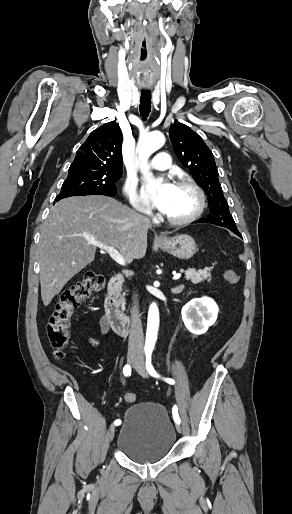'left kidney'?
I'll return each mask as SVG.
<instances>
[{"label":"left kidney","mask_w":292,"mask_h":514,"mask_svg":"<svg viewBox=\"0 0 292 514\" xmlns=\"http://www.w3.org/2000/svg\"><path fill=\"white\" fill-rule=\"evenodd\" d=\"M219 308L212 298H195L183 306L182 320L189 332L195 336L205 334L217 320Z\"/></svg>","instance_id":"5707ae66"}]
</instances>
